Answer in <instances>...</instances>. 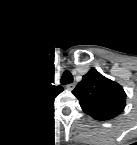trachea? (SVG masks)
<instances>
[{"label":"trachea","instance_id":"3493384b","mask_svg":"<svg viewBox=\"0 0 137 145\" xmlns=\"http://www.w3.org/2000/svg\"><path fill=\"white\" fill-rule=\"evenodd\" d=\"M63 84H68L72 82V75L69 72H65L61 79Z\"/></svg>","mask_w":137,"mask_h":145}]
</instances>
